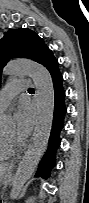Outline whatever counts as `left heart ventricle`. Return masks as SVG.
<instances>
[{
  "mask_svg": "<svg viewBox=\"0 0 89 203\" xmlns=\"http://www.w3.org/2000/svg\"><path fill=\"white\" fill-rule=\"evenodd\" d=\"M3 136L11 141H16V134H15V130L13 126L8 127L4 132H3Z\"/></svg>",
  "mask_w": 89,
  "mask_h": 203,
  "instance_id": "obj_1",
  "label": "left heart ventricle"
}]
</instances>
